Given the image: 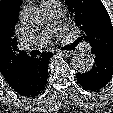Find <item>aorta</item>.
<instances>
[{"label":"aorta","instance_id":"obj_1","mask_svg":"<svg viewBox=\"0 0 113 113\" xmlns=\"http://www.w3.org/2000/svg\"><path fill=\"white\" fill-rule=\"evenodd\" d=\"M29 16L27 10L22 12V17L26 18ZM94 64V59L89 54L79 53L73 57L72 66L79 73L89 72Z\"/></svg>","mask_w":113,"mask_h":113}]
</instances>
